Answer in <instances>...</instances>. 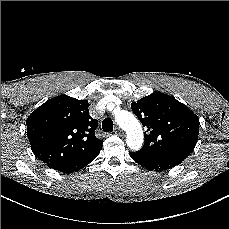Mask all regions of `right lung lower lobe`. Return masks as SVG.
Segmentation results:
<instances>
[{
  "label": "right lung lower lobe",
  "instance_id": "98d812e1",
  "mask_svg": "<svg viewBox=\"0 0 229 229\" xmlns=\"http://www.w3.org/2000/svg\"><path fill=\"white\" fill-rule=\"evenodd\" d=\"M99 151H97L96 153H94V154H92V155H90L84 159H81V160L73 163L72 165H70L66 168L59 169L58 171L65 172V173L77 172V171L81 170L82 168H84L91 161H93L98 156Z\"/></svg>",
  "mask_w": 229,
  "mask_h": 229
}]
</instances>
